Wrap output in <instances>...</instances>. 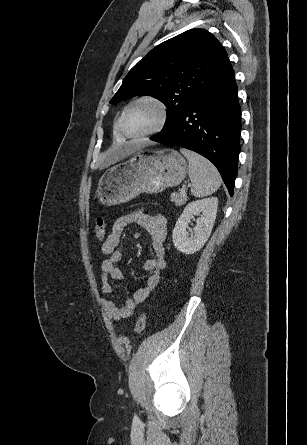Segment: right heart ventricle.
<instances>
[{
    "label": "right heart ventricle",
    "mask_w": 307,
    "mask_h": 445,
    "mask_svg": "<svg viewBox=\"0 0 307 445\" xmlns=\"http://www.w3.org/2000/svg\"><path fill=\"white\" fill-rule=\"evenodd\" d=\"M114 140L116 143L120 144L125 140V137L121 131V123L120 120L116 122L113 128Z\"/></svg>",
    "instance_id": "right-heart-ventricle-1"
}]
</instances>
